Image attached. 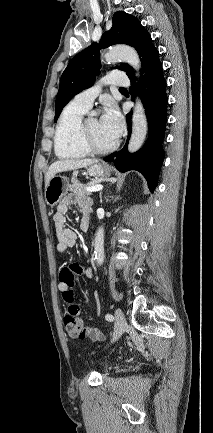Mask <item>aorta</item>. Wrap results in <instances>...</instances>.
<instances>
[{"instance_id":"obj_1","label":"aorta","mask_w":213,"mask_h":433,"mask_svg":"<svg viewBox=\"0 0 213 433\" xmlns=\"http://www.w3.org/2000/svg\"><path fill=\"white\" fill-rule=\"evenodd\" d=\"M108 63L116 60H123L131 65L139 74L141 62L139 55L135 49L128 46H114L111 47L104 56ZM147 134V118L145 109L141 100L136 98V105L134 107L132 116V134L128 144L129 152H136L142 146ZM94 254L97 265L101 266L104 262V228H98L95 234Z\"/></svg>"}]
</instances>
